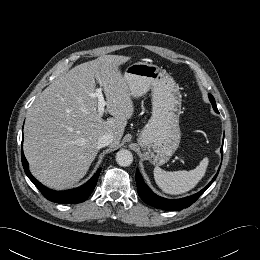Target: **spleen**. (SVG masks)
<instances>
[{
    "label": "spleen",
    "mask_w": 260,
    "mask_h": 260,
    "mask_svg": "<svg viewBox=\"0 0 260 260\" xmlns=\"http://www.w3.org/2000/svg\"><path fill=\"white\" fill-rule=\"evenodd\" d=\"M208 158H203L199 165L190 171H165L160 167L154 168V179L158 187L165 193L179 195L193 189L198 182L204 177Z\"/></svg>",
    "instance_id": "spleen-1"
}]
</instances>
